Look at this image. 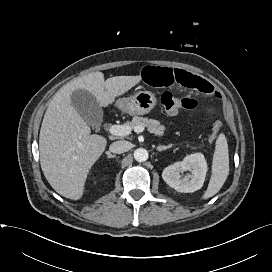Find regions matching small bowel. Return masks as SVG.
Masks as SVG:
<instances>
[{"label": "small bowel", "instance_id": "1", "mask_svg": "<svg viewBox=\"0 0 272 272\" xmlns=\"http://www.w3.org/2000/svg\"><path fill=\"white\" fill-rule=\"evenodd\" d=\"M141 78L153 87L180 86L206 94H216L215 88L208 81L182 69L147 66L143 68Z\"/></svg>", "mask_w": 272, "mask_h": 272}]
</instances>
